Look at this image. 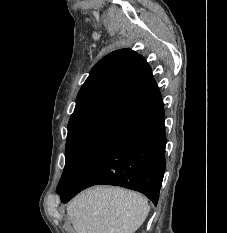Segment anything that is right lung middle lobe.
Segmentation results:
<instances>
[{
    "label": "right lung middle lobe",
    "instance_id": "obj_1",
    "mask_svg": "<svg viewBox=\"0 0 227 233\" xmlns=\"http://www.w3.org/2000/svg\"><path fill=\"white\" fill-rule=\"evenodd\" d=\"M112 132L86 130L68 133L66 162L57 192L73 185L92 160L115 138Z\"/></svg>",
    "mask_w": 227,
    "mask_h": 233
}]
</instances>
